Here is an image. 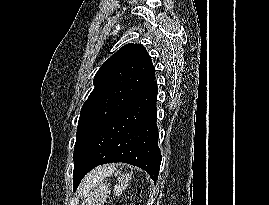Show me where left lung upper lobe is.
Wrapping results in <instances>:
<instances>
[{
	"label": "left lung upper lobe",
	"instance_id": "1",
	"mask_svg": "<svg viewBox=\"0 0 269 205\" xmlns=\"http://www.w3.org/2000/svg\"><path fill=\"white\" fill-rule=\"evenodd\" d=\"M154 80L155 67L141 44H126L103 63L80 112L74 167L97 131Z\"/></svg>",
	"mask_w": 269,
	"mask_h": 205
}]
</instances>
